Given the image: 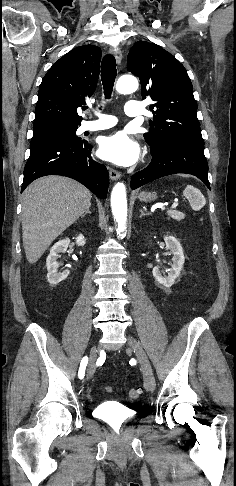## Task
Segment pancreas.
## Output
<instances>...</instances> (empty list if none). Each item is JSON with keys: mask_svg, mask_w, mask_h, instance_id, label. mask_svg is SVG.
Segmentation results:
<instances>
[{"mask_svg": "<svg viewBox=\"0 0 236 486\" xmlns=\"http://www.w3.org/2000/svg\"><path fill=\"white\" fill-rule=\"evenodd\" d=\"M168 216L177 220V221H181L182 219H184V216L185 214L180 212V211H168L167 212Z\"/></svg>", "mask_w": 236, "mask_h": 486, "instance_id": "pancreas-1", "label": "pancreas"}]
</instances>
